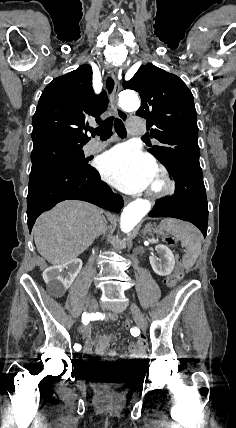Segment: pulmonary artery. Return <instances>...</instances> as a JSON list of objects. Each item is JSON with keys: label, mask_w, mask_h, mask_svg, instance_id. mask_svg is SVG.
<instances>
[{"label": "pulmonary artery", "mask_w": 236, "mask_h": 428, "mask_svg": "<svg viewBox=\"0 0 236 428\" xmlns=\"http://www.w3.org/2000/svg\"><path fill=\"white\" fill-rule=\"evenodd\" d=\"M106 147H107L106 143H101V142L92 140L86 145L85 153L90 155L96 154L104 150Z\"/></svg>", "instance_id": "obj_1"}]
</instances>
